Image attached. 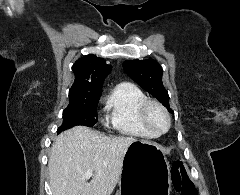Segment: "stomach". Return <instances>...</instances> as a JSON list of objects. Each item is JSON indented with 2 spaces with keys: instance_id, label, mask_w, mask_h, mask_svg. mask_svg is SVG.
I'll return each mask as SVG.
<instances>
[{
  "instance_id": "0dacf381",
  "label": "stomach",
  "mask_w": 240,
  "mask_h": 195,
  "mask_svg": "<svg viewBox=\"0 0 240 195\" xmlns=\"http://www.w3.org/2000/svg\"><path fill=\"white\" fill-rule=\"evenodd\" d=\"M170 165L159 143L137 139L125 153L118 195H169Z\"/></svg>"
}]
</instances>
